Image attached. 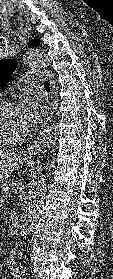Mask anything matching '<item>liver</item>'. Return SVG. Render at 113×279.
Wrapping results in <instances>:
<instances>
[{
  "label": "liver",
  "mask_w": 113,
  "mask_h": 279,
  "mask_svg": "<svg viewBox=\"0 0 113 279\" xmlns=\"http://www.w3.org/2000/svg\"><path fill=\"white\" fill-rule=\"evenodd\" d=\"M16 157V153L13 150L10 149H3L0 150V161H5V160H13Z\"/></svg>",
  "instance_id": "obj_1"
}]
</instances>
